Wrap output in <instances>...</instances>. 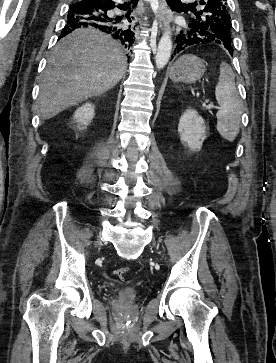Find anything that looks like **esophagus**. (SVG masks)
Listing matches in <instances>:
<instances>
[{
    "instance_id": "obj_1",
    "label": "esophagus",
    "mask_w": 276,
    "mask_h": 363,
    "mask_svg": "<svg viewBox=\"0 0 276 363\" xmlns=\"http://www.w3.org/2000/svg\"><path fill=\"white\" fill-rule=\"evenodd\" d=\"M158 22L161 29H165L169 25L170 16L168 14V8L166 0H158Z\"/></svg>"
}]
</instances>
